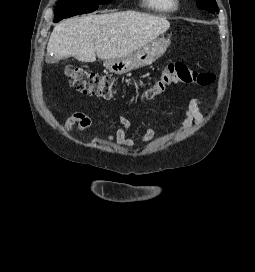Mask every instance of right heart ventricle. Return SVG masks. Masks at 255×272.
I'll use <instances>...</instances> for the list:
<instances>
[{
	"instance_id": "obj_1",
	"label": "right heart ventricle",
	"mask_w": 255,
	"mask_h": 272,
	"mask_svg": "<svg viewBox=\"0 0 255 272\" xmlns=\"http://www.w3.org/2000/svg\"><path fill=\"white\" fill-rule=\"evenodd\" d=\"M143 7L158 14H169L178 9V0H142Z\"/></svg>"
}]
</instances>
